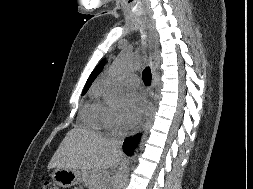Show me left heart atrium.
Returning <instances> with one entry per match:
<instances>
[{"mask_svg":"<svg viewBox=\"0 0 253 189\" xmlns=\"http://www.w3.org/2000/svg\"><path fill=\"white\" fill-rule=\"evenodd\" d=\"M146 110V101L138 93L128 95L126 106L122 115V123L125 127L135 125L143 116Z\"/></svg>","mask_w":253,"mask_h":189,"instance_id":"obj_1","label":"left heart atrium"}]
</instances>
